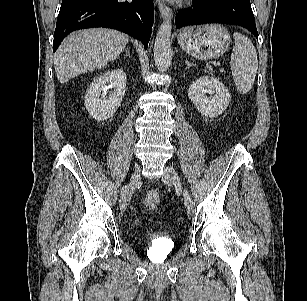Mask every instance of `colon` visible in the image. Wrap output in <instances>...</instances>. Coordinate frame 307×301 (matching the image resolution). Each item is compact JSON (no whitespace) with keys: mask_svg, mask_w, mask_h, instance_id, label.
Instances as JSON below:
<instances>
[{"mask_svg":"<svg viewBox=\"0 0 307 301\" xmlns=\"http://www.w3.org/2000/svg\"><path fill=\"white\" fill-rule=\"evenodd\" d=\"M142 206L148 212H158L160 209V198L157 192L149 191L142 198Z\"/></svg>","mask_w":307,"mask_h":301,"instance_id":"5ec220e1","label":"colon"}]
</instances>
